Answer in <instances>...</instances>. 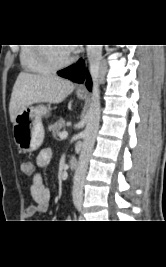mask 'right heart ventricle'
Listing matches in <instances>:
<instances>
[{
  "label": "right heart ventricle",
  "mask_w": 166,
  "mask_h": 267,
  "mask_svg": "<svg viewBox=\"0 0 166 267\" xmlns=\"http://www.w3.org/2000/svg\"><path fill=\"white\" fill-rule=\"evenodd\" d=\"M35 44L22 46L20 49V63L22 67L30 72L48 73L52 68L47 66L39 57L38 47Z\"/></svg>",
  "instance_id": "1"
}]
</instances>
